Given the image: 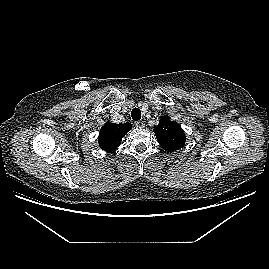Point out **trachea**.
Here are the masks:
<instances>
[{
    "instance_id": "1",
    "label": "trachea",
    "mask_w": 269,
    "mask_h": 269,
    "mask_svg": "<svg viewBox=\"0 0 269 269\" xmlns=\"http://www.w3.org/2000/svg\"><path fill=\"white\" fill-rule=\"evenodd\" d=\"M131 116L134 120H140L141 119V110L139 108H134L131 112Z\"/></svg>"
}]
</instances>
